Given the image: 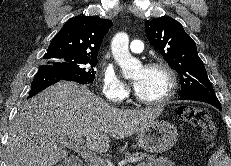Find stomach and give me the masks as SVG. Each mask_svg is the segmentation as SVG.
Listing matches in <instances>:
<instances>
[{
    "instance_id": "0dacf381",
    "label": "stomach",
    "mask_w": 231,
    "mask_h": 166,
    "mask_svg": "<svg viewBox=\"0 0 231 166\" xmlns=\"http://www.w3.org/2000/svg\"><path fill=\"white\" fill-rule=\"evenodd\" d=\"M178 140L177 128L164 120H154L136 134L138 146L146 152L163 153Z\"/></svg>"
}]
</instances>
